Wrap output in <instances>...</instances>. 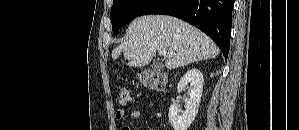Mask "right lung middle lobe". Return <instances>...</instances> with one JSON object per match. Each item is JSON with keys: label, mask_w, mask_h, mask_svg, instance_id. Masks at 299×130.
Here are the masks:
<instances>
[{"label": "right lung middle lobe", "mask_w": 299, "mask_h": 130, "mask_svg": "<svg viewBox=\"0 0 299 130\" xmlns=\"http://www.w3.org/2000/svg\"><path fill=\"white\" fill-rule=\"evenodd\" d=\"M152 0H113V6L110 13L113 33L117 34L118 30L128 23Z\"/></svg>", "instance_id": "1"}]
</instances>
